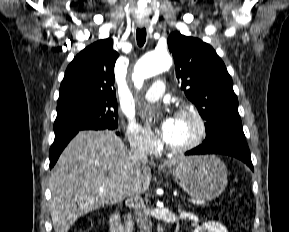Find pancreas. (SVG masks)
<instances>
[{
	"label": "pancreas",
	"mask_w": 289,
	"mask_h": 232,
	"mask_svg": "<svg viewBox=\"0 0 289 232\" xmlns=\"http://www.w3.org/2000/svg\"><path fill=\"white\" fill-rule=\"evenodd\" d=\"M125 225H126L128 232H131V230L133 229V221L131 220L130 216H128V219L125 222Z\"/></svg>",
	"instance_id": "1"
}]
</instances>
